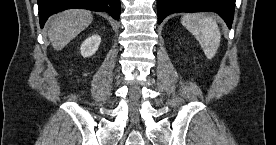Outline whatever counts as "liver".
<instances>
[{"label": "liver", "mask_w": 276, "mask_h": 145, "mask_svg": "<svg viewBox=\"0 0 276 145\" xmlns=\"http://www.w3.org/2000/svg\"><path fill=\"white\" fill-rule=\"evenodd\" d=\"M92 14L84 9H69L54 16L48 31L53 48L62 50L92 22Z\"/></svg>", "instance_id": "1"}]
</instances>
